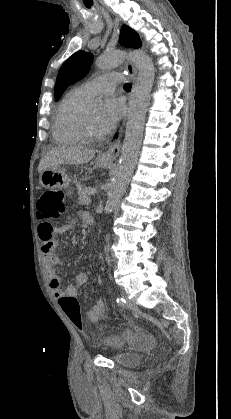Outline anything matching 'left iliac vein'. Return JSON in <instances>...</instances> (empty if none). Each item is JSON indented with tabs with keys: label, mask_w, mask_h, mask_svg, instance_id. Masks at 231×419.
Segmentation results:
<instances>
[{
	"label": "left iliac vein",
	"mask_w": 231,
	"mask_h": 419,
	"mask_svg": "<svg viewBox=\"0 0 231 419\" xmlns=\"http://www.w3.org/2000/svg\"><path fill=\"white\" fill-rule=\"evenodd\" d=\"M124 298L126 299L127 303H126V307L130 310H136L137 309V305L134 301L130 300L127 296H124Z\"/></svg>",
	"instance_id": "4c4485c4"
}]
</instances>
